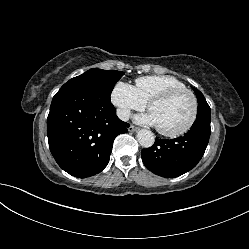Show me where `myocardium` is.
I'll return each mask as SVG.
<instances>
[{
    "label": "myocardium",
    "instance_id": "f54148a6",
    "mask_svg": "<svg viewBox=\"0 0 249 249\" xmlns=\"http://www.w3.org/2000/svg\"><path fill=\"white\" fill-rule=\"evenodd\" d=\"M186 94L191 98L192 102V112L188 122L180 129L174 131H167L158 127V131L167 137H178L187 133L195 124L198 115V100L196 95L187 88H177L164 92L156 97H154L148 104V109L151 111L153 106L159 103L167 102L178 95Z\"/></svg>",
    "mask_w": 249,
    "mask_h": 249
}]
</instances>
